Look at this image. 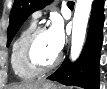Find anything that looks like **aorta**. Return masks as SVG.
I'll use <instances>...</instances> for the list:
<instances>
[{
	"label": "aorta",
	"mask_w": 107,
	"mask_h": 89,
	"mask_svg": "<svg viewBox=\"0 0 107 89\" xmlns=\"http://www.w3.org/2000/svg\"><path fill=\"white\" fill-rule=\"evenodd\" d=\"M93 0H77L73 17L70 58L75 61L82 50Z\"/></svg>",
	"instance_id": "obj_1"
}]
</instances>
